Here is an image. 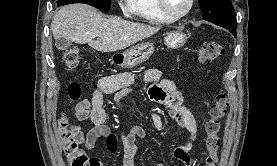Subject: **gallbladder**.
Here are the masks:
<instances>
[{"instance_id": "obj_1", "label": "gallbladder", "mask_w": 277, "mask_h": 166, "mask_svg": "<svg viewBox=\"0 0 277 166\" xmlns=\"http://www.w3.org/2000/svg\"><path fill=\"white\" fill-rule=\"evenodd\" d=\"M71 46H72V42L63 38H60L56 41V47L59 50H68Z\"/></svg>"}]
</instances>
